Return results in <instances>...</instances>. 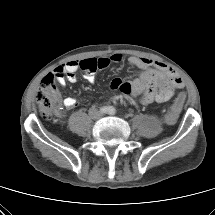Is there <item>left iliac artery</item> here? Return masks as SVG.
<instances>
[{"label":"left iliac artery","mask_w":215,"mask_h":215,"mask_svg":"<svg viewBox=\"0 0 215 215\" xmlns=\"http://www.w3.org/2000/svg\"><path fill=\"white\" fill-rule=\"evenodd\" d=\"M108 113H109L110 115H114V114L116 113V109H115L114 107L110 106V107L108 108Z\"/></svg>","instance_id":"1"}]
</instances>
